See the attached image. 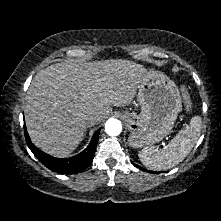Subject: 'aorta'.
<instances>
[{
	"label": "aorta",
	"instance_id": "1",
	"mask_svg": "<svg viewBox=\"0 0 221 221\" xmlns=\"http://www.w3.org/2000/svg\"><path fill=\"white\" fill-rule=\"evenodd\" d=\"M105 131L109 136H117L122 131V124L118 119L111 118L105 123Z\"/></svg>",
	"mask_w": 221,
	"mask_h": 221
}]
</instances>
